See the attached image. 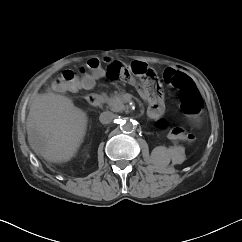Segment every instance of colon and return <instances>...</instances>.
Here are the masks:
<instances>
[{
    "label": "colon",
    "mask_w": 242,
    "mask_h": 242,
    "mask_svg": "<svg viewBox=\"0 0 242 242\" xmlns=\"http://www.w3.org/2000/svg\"><path fill=\"white\" fill-rule=\"evenodd\" d=\"M99 75H103L111 81L134 76L141 79L143 88L149 94L156 96L162 94V87L155 72L145 63L133 62L122 69L118 62L110 59L102 62L92 59L85 67L77 70H64L52 81L50 89L54 92H74L84 88V85H88L90 77ZM164 80L179 90L183 111L192 116L197 115L202 107V97L190 77L177 70H167L164 74ZM158 124L161 130L168 129L164 119H160ZM169 133L173 138L183 141L192 139V136L181 127H173Z\"/></svg>",
    "instance_id": "1"
}]
</instances>
